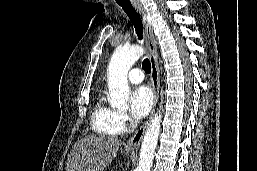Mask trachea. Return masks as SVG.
<instances>
[{
	"mask_svg": "<svg viewBox=\"0 0 257 171\" xmlns=\"http://www.w3.org/2000/svg\"><path fill=\"white\" fill-rule=\"evenodd\" d=\"M125 13L128 15L129 19L131 20L132 24L134 25L136 34L139 40L143 39V24L140 15L134 9L131 3H119ZM142 68L146 73L151 72V64L150 61L146 58L142 62Z\"/></svg>",
	"mask_w": 257,
	"mask_h": 171,
	"instance_id": "3493384b",
	"label": "trachea"
}]
</instances>
